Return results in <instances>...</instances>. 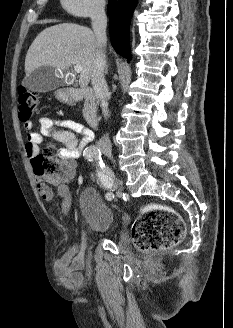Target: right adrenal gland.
I'll return each instance as SVG.
<instances>
[{"label": "right adrenal gland", "mask_w": 233, "mask_h": 328, "mask_svg": "<svg viewBox=\"0 0 233 328\" xmlns=\"http://www.w3.org/2000/svg\"><path fill=\"white\" fill-rule=\"evenodd\" d=\"M108 73V65H106V74Z\"/></svg>", "instance_id": "right-adrenal-gland-1"}]
</instances>
